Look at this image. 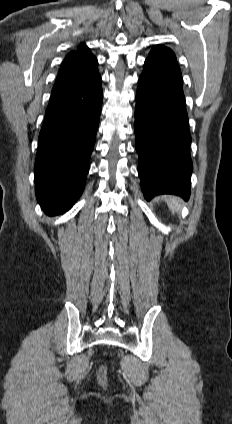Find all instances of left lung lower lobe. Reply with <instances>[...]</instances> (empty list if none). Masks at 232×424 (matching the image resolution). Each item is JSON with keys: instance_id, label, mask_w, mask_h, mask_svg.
Segmentation results:
<instances>
[{"instance_id": "0a47b994", "label": "left lung lower lobe", "mask_w": 232, "mask_h": 424, "mask_svg": "<svg viewBox=\"0 0 232 424\" xmlns=\"http://www.w3.org/2000/svg\"><path fill=\"white\" fill-rule=\"evenodd\" d=\"M176 60H146L136 93L138 172L146 199L159 194L190 196L191 136Z\"/></svg>"}]
</instances>
